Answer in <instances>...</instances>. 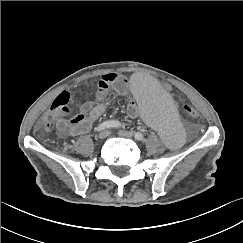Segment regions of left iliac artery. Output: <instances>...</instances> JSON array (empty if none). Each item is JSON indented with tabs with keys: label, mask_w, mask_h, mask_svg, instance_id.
I'll use <instances>...</instances> for the list:
<instances>
[{
	"label": "left iliac artery",
	"mask_w": 243,
	"mask_h": 243,
	"mask_svg": "<svg viewBox=\"0 0 243 243\" xmlns=\"http://www.w3.org/2000/svg\"><path fill=\"white\" fill-rule=\"evenodd\" d=\"M135 138L137 140H143L144 139V135L142 133H140V132H136L135 133Z\"/></svg>",
	"instance_id": "obj_1"
}]
</instances>
